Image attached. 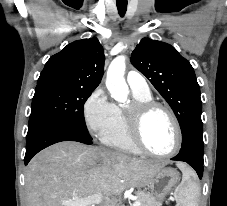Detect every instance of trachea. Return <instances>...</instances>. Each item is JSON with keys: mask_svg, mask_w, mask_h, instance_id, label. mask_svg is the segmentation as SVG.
<instances>
[{"mask_svg": "<svg viewBox=\"0 0 227 206\" xmlns=\"http://www.w3.org/2000/svg\"><path fill=\"white\" fill-rule=\"evenodd\" d=\"M116 5H117L119 15L123 17L127 10V0H117Z\"/></svg>", "mask_w": 227, "mask_h": 206, "instance_id": "3493384b", "label": "trachea"}]
</instances>
